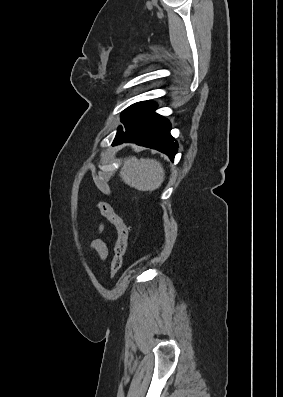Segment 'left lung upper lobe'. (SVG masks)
I'll return each instance as SVG.
<instances>
[{"label":"left lung upper lobe","instance_id":"1","mask_svg":"<svg viewBox=\"0 0 283 397\" xmlns=\"http://www.w3.org/2000/svg\"><path fill=\"white\" fill-rule=\"evenodd\" d=\"M156 107L153 102H138L126 108L121 114V122L124 127L119 126L117 135H121L125 130L130 128L140 117Z\"/></svg>","mask_w":283,"mask_h":397}]
</instances>
